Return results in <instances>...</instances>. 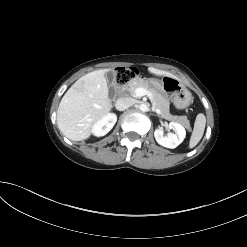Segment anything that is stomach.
I'll list each match as a JSON object with an SVG mask.
<instances>
[{"label": "stomach", "instance_id": "obj_1", "mask_svg": "<svg viewBox=\"0 0 247 247\" xmlns=\"http://www.w3.org/2000/svg\"><path fill=\"white\" fill-rule=\"evenodd\" d=\"M156 87L168 98L172 100L175 107L184 109L192 102L190 91L180 82L179 79L163 76L159 81L153 80Z\"/></svg>", "mask_w": 247, "mask_h": 247}]
</instances>
